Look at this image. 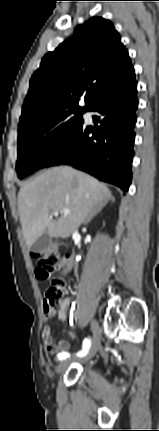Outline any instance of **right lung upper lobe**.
I'll list each match as a JSON object with an SVG mask.
<instances>
[{
	"label": "right lung upper lobe",
	"mask_w": 159,
	"mask_h": 431,
	"mask_svg": "<svg viewBox=\"0 0 159 431\" xmlns=\"http://www.w3.org/2000/svg\"><path fill=\"white\" fill-rule=\"evenodd\" d=\"M134 77L120 35L109 20L93 17L48 52L30 80L19 130L66 111H88ZM85 94V105H78Z\"/></svg>",
	"instance_id": "1"
}]
</instances>
